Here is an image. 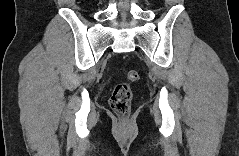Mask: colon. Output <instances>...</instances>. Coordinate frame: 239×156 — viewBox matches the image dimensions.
Returning <instances> with one entry per match:
<instances>
[{
    "label": "colon",
    "mask_w": 239,
    "mask_h": 156,
    "mask_svg": "<svg viewBox=\"0 0 239 156\" xmlns=\"http://www.w3.org/2000/svg\"><path fill=\"white\" fill-rule=\"evenodd\" d=\"M139 79V73L135 70L127 72L128 82H136ZM132 100V90L128 83L117 84L110 97V105L114 112L120 116L128 115Z\"/></svg>",
    "instance_id": "obj_1"
}]
</instances>
